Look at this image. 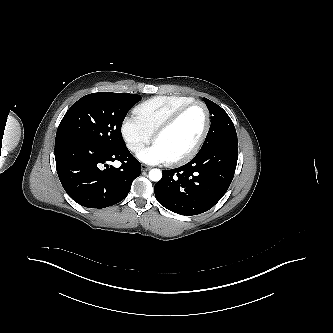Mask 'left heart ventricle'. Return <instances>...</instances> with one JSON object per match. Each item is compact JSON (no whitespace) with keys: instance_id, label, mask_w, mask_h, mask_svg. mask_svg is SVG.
Instances as JSON below:
<instances>
[{"instance_id":"1","label":"left heart ventricle","mask_w":333,"mask_h":333,"mask_svg":"<svg viewBox=\"0 0 333 333\" xmlns=\"http://www.w3.org/2000/svg\"><path fill=\"white\" fill-rule=\"evenodd\" d=\"M205 124V113L201 106H194L155 143L163 150L167 159H172L189 151L200 137Z\"/></svg>"}]
</instances>
